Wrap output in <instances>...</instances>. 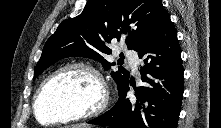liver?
<instances>
[{
  "label": "liver",
  "mask_w": 221,
  "mask_h": 128,
  "mask_svg": "<svg viewBox=\"0 0 221 128\" xmlns=\"http://www.w3.org/2000/svg\"><path fill=\"white\" fill-rule=\"evenodd\" d=\"M70 128H90V126L85 125V124H77V125H72Z\"/></svg>",
  "instance_id": "1"
}]
</instances>
